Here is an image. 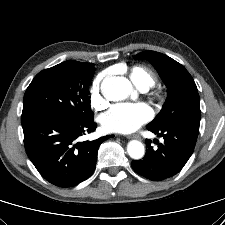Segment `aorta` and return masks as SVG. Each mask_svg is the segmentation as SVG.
<instances>
[{"mask_svg": "<svg viewBox=\"0 0 225 225\" xmlns=\"http://www.w3.org/2000/svg\"><path fill=\"white\" fill-rule=\"evenodd\" d=\"M103 96L110 101L125 99L132 92V85L125 77H106L101 83ZM127 152L134 160L141 159L145 154L144 145L138 140H132L127 145Z\"/></svg>", "mask_w": 225, "mask_h": 225, "instance_id": "1", "label": "aorta"}]
</instances>
